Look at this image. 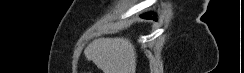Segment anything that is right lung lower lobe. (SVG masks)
<instances>
[{"label": "right lung lower lobe", "mask_w": 244, "mask_h": 73, "mask_svg": "<svg viewBox=\"0 0 244 73\" xmlns=\"http://www.w3.org/2000/svg\"><path fill=\"white\" fill-rule=\"evenodd\" d=\"M143 17L144 18H152L150 14H145Z\"/></svg>", "instance_id": "obj_1"}]
</instances>
